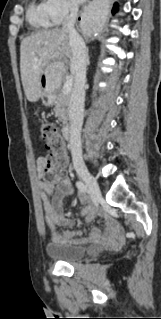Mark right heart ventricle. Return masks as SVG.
<instances>
[{"label": "right heart ventricle", "instance_id": "e07e8e85", "mask_svg": "<svg viewBox=\"0 0 161 319\" xmlns=\"http://www.w3.org/2000/svg\"><path fill=\"white\" fill-rule=\"evenodd\" d=\"M27 18L29 23L38 30L46 29L54 25L46 2L33 3L29 7Z\"/></svg>", "mask_w": 161, "mask_h": 319}]
</instances>
